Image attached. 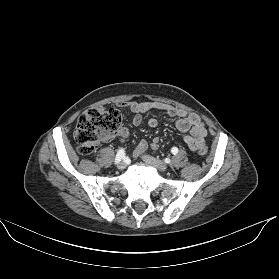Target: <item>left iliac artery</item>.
<instances>
[{"label":"left iliac artery","mask_w":279,"mask_h":279,"mask_svg":"<svg viewBox=\"0 0 279 279\" xmlns=\"http://www.w3.org/2000/svg\"><path fill=\"white\" fill-rule=\"evenodd\" d=\"M171 152H172V154H177L178 153V148L177 147H173L172 149H171ZM167 162V161H166Z\"/></svg>","instance_id":"44dca946"}]
</instances>
